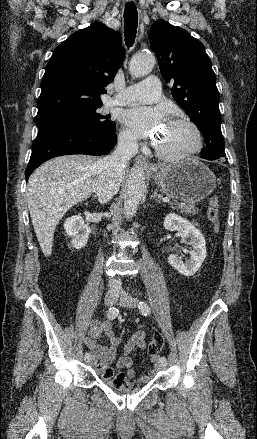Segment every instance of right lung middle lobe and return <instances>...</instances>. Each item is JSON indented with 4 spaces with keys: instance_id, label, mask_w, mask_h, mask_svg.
Instances as JSON below:
<instances>
[{
    "instance_id": "dd1d6c3e",
    "label": "right lung middle lobe",
    "mask_w": 257,
    "mask_h": 439,
    "mask_svg": "<svg viewBox=\"0 0 257 439\" xmlns=\"http://www.w3.org/2000/svg\"><path fill=\"white\" fill-rule=\"evenodd\" d=\"M101 105L89 108L77 109L67 113L37 120V126L41 127L46 124L55 122H74L86 125L95 129L109 132H115V122L109 120L110 116L101 115L97 112Z\"/></svg>"
}]
</instances>
